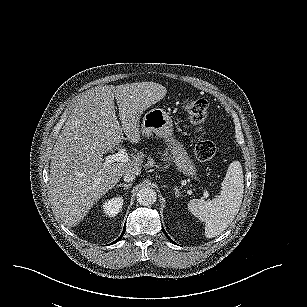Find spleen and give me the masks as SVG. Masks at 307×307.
Listing matches in <instances>:
<instances>
[{"label":"spleen","mask_w":307,"mask_h":307,"mask_svg":"<svg viewBox=\"0 0 307 307\" xmlns=\"http://www.w3.org/2000/svg\"><path fill=\"white\" fill-rule=\"evenodd\" d=\"M244 193V176L239 161L230 163L226 176L221 183L220 195L211 201L192 199L188 210L205 223V237L220 235L238 214Z\"/></svg>","instance_id":"obj_1"}]
</instances>
